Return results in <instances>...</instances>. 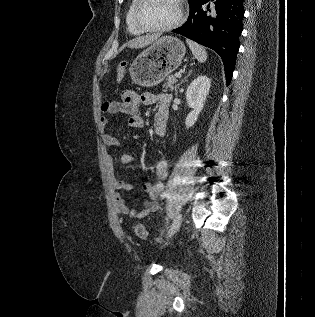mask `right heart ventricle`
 <instances>
[{"instance_id":"e07e8e85","label":"right heart ventricle","mask_w":315,"mask_h":317,"mask_svg":"<svg viewBox=\"0 0 315 317\" xmlns=\"http://www.w3.org/2000/svg\"><path fill=\"white\" fill-rule=\"evenodd\" d=\"M135 3H136V0H132L131 3H130V6H129V9L126 13V25H127V29L128 31L133 34V35H140L142 34L143 32L140 31L133 23V18H132V15H133V9H134V6H135Z\"/></svg>"}]
</instances>
